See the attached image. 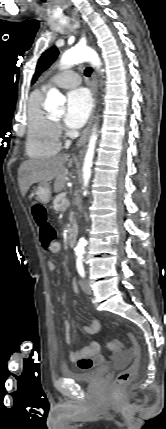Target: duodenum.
I'll use <instances>...</instances> for the list:
<instances>
[{"mask_svg":"<svg viewBox=\"0 0 166 429\" xmlns=\"http://www.w3.org/2000/svg\"><path fill=\"white\" fill-rule=\"evenodd\" d=\"M68 244L73 247L76 242V230L74 228H71L67 235Z\"/></svg>","mask_w":166,"mask_h":429,"instance_id":"obj_1","label":"duodenum"}]
</instances>
